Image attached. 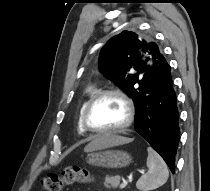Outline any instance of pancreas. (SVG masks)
Masks as SVG:
<instances>
[{
    "instance_id": "cf45deb5",
    "label": "pancreas",
    "mask_w": 210,
    "mask_h": 191,
    "mask_svg": "<svg viewBox=\"0 0 210 191\" xmlns=\"http://www.w3.org/2000/svg\"><path fill=\"white\" fill-rule=\"evenodd\" d=\"M120 183V177L119 176H106L104 185L107 188H116Z\"/></svg>"
}]
</instances>
